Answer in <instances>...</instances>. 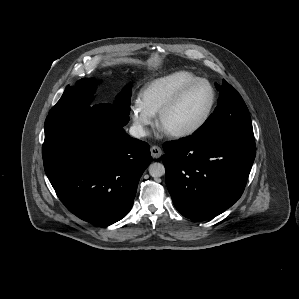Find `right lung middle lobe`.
<instances>
[{"mask_svg": "<svg viewBox=\"0 0 299 299\" xmlns=\"http://www.w3.org/2000/svg\"><path fill=\"white\" fill-rule=\"evenodd\" d=\"M93 79L83 78L74 87L67 86L62 97L51 108L48 116L69 115L76 110L87 107L92 101L96 85ZM131 87L126 86L124 90L116 96L114 104L126 113L130 112Z\"/></svg>", "mask_w": 299, "mask_h": 299, "instance_id": "1", "label": "right lung middle lobe"}]
</instances>
